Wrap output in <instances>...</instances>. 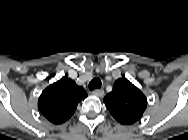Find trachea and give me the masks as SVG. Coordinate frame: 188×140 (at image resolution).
<instances>
[{
	"label": "trachea",
	"mask_w": 188,
	"mask_h": 140,
	"mask_svg": "<svg viewBox=\"0 0 188 140\" xmlns=\"http://www.w3.org/2000/svg\"><path fill=\"white\" fill-rule=\"evenodd\" d=\"M101 87V80L99 78H94L89 83V90L99 89Z\"/></svg>",
	"instance_id": "trachea-1"
}]
</instances>
